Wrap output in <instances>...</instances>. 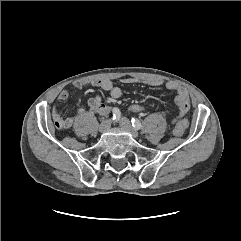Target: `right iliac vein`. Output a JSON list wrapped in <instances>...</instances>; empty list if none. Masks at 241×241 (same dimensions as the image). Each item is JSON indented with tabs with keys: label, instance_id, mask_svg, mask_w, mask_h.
<instances>
[{
	"label": "right iliac vein",
	"instance_id": "obj_1",
	"mask_svg": "<svg viewBox=\"0 0 241 241\" xmlns=\"http://www.w3.org/2000/svg\"><path fill=\"white\" fill-rule=\"evenodd\" d=\"M111 125V121L110 120H104L101 122V124L99 125V131L100 132H105L106 130H108L110 128Z\"/></svg>",
	"mask_w": 241,
	"mask_h": 241
}]
</instances>
